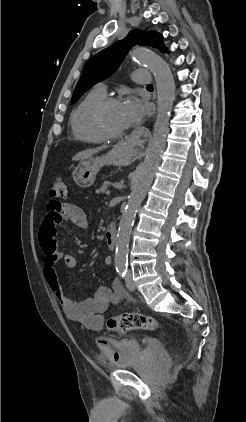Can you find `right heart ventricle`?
Returning <instances> with one entry per match:
<instances>
[{
  "mask_svg": "<svg viewBox=\"0 0 246 422\" xmlns=\"http://www.w3.org/2000/svg\"><path fill=\"white\" fill-rule=\"evenodd\" d=\"M106 97L104 91L95 88L88 92L71 114L70 123L73 135L81 141L98 144L105 138L96 129L92 120L94 107Z\"/></svg>",
  "mask_w": 246,
  "mask_h": 422,
  "instance_id": "e07e8e85",
  "label": "right heart ventricle"
}]
</instances>
